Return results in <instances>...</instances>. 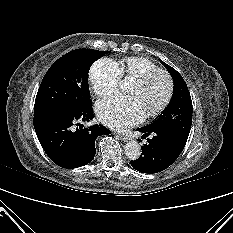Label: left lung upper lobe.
<instances>
[{
	"label": "left lung upper lobe",
	"instance_id": "5c2ea615",
	"mask_svg": "<svg viewBox=\"0 0 233 233\" xmlns=\"http://www.w3.org/2000/svg\"><path fill=\"white\" fill-rule=\"evenodd\" d=\"M160 62L171 74L174 82L173 97L167 109L151 124L144 126L145 128L163 127L173 131L180 138L187 140L192 125V100L188 87L180 75L174 68Z\"/></svg>",
	"mask_w": 233,
	"mask_h": 233
}]
</instances>
